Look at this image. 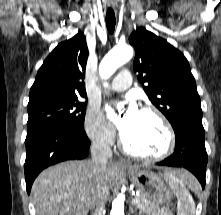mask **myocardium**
Masks as SVG:
<instances>
[{
  "label": "myocardium",
  "mask_w": 221,
  "mask_h": 215,
  "mask_svg": "<svg viewBox=\"0 0 221 215\" xmlns=\"http://www.w3.org/2000/svg\"><path fill=\"white\" fill-rule=\"evenodd\" d=\"M140 111L153 114L161 122V124L165 130L166 136H167L166 147L164 148V150H162L161 152H159L157 154L150 155V154L137 153V152L131 150L126 145V143L123 139V136L121 135L120 136V145H121L123 151L133 158L145 160V161H159V160L167 158L169 155H171L173 153V151L175 149V145H176L175 132H174V129H173L170 121L168 120L166 115L155 106L146 105V106H143Z\"/></svg>",
  "instance_id": "1"
}]
</instances>
